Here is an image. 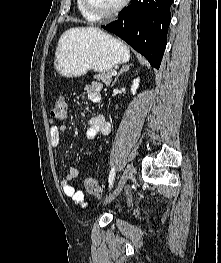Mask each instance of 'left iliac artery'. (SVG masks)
<instances>
[{"label": "left iliac artery", "mask_w": 221, "mask_h": 263, "mask_svg": "<svg viewBox=\"0 0 221 263\" xmlns=\"http://www.w3.org/2000/svg\"><path fill=\"white\" fill-rule=\"evenodd\" d=\"M114 177H115V168L113 167L109 174V187L110 188L113 185Z\"/></svg>", "instance_id": "1"}]
</instances>
